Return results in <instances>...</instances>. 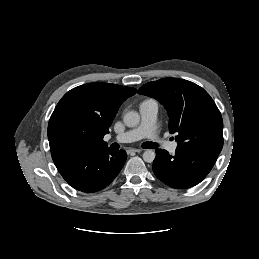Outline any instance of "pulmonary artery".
Wrapping results in <instances>:
<instances>
[{
    "mask_svg": "<svg viewBox=\"0 0 259 259\" xmlns=\"http://www.w3.org/2000/svg\"><path fill=\"white\" fill-rule=\"evenodd\" d=\"M141 115L140 124L114 137L118 143H127L147 138L153 142L162 144L169 152L174 153L178 144L176 142L163 141L156 132V118L158 103L153 99L144 100L139 106Z\"/></svg>",
    "mask_w": 259,
    "mask_h": 259,
    "instance_id": "1",
    "label": "pulmonary artery"
}]
</instances>
